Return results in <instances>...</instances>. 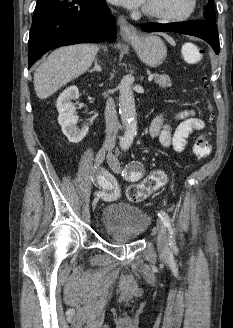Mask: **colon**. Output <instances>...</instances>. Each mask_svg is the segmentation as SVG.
<instances>
[{
	"label": "colon",
	"mask_w": 233,
	"mask_h": 328,
	"mask_svg": "<svg viewBox=\"0 0 233 328\" xmlns=\"http://www.w3.org/2000/svg\"><path fill=\"white\" fill-rule=\"evenodd\" d=\"M203 51L194 44L186 45L183 49V57L188 62L200 60ZM208 119L211 120L213 113L208 109ZM193 154L200 160L207 158L211 153V146L206 134L200 135L194 142L192 148ZM166 183V175L161 170H155L145 177L140 183L130 186L126 195L130 202H140L147 198L151 193L161 188Z\"/></svg>",
	"instance_id": "5ec220e1"
}]
</instances>
